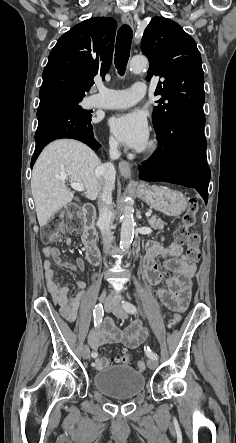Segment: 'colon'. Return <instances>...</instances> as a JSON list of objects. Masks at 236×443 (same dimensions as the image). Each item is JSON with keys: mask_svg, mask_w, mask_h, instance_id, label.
<instances>
[{"mask_svg": "<svg viewBox=\"0 0 236 443\" xmlns=\"http://www.w3.org/2000/svg\"><path fill=\"white\" fill-rule=\"evenodd\" d=\"M198 212V202L192 198L189 200L188 209L182 217L181 224L174 232V239L178 245H186L187 257L192 262H197L201 257L200 236L196 233H190V228L194 225ZM67 227L71 232H77L82 226V214L78 206L70 205L66 208L64 214L51 219L41 230V239L44 243L57 241L64 233ZM180 315L174 314L169 321V327H175L180 322ZM130 356L128 353L116 357L100 356L95 359L93 365L97 369L106 368L113 363L128 364ZM137 367L140 371H145L146 361L141 359Z\"/></svg>", "mask_w": 236, "mask_h": 443, "instance_id": "5ec220e1", "label": "colon"}]
</instances>
